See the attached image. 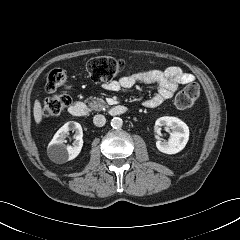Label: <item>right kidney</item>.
<instances>
[{
  "label": "right kidney",
  "instance_id": "ca27d5eb",
  "mask_svg": "<svg viewBox=\"0 0 240 240\" xmlns=\"http://www.w3.org/2000/svg\"><path fill=\"white\" fill-rule=\"evenodd\" d=\"M69 131L75 132L72 145H65V138ZM83 130L79 123L70 121L64 124L54 135L48 146V156L55 163H65L76 158L83 146Z\"/></svg>",
  "mask_w": 240,
  "mask_h": 240
}]
</instances>
